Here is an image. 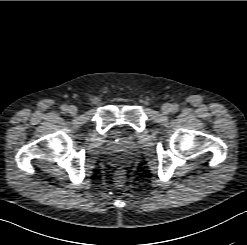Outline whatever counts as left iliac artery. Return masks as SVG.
<instances>
[{"label":"left iliac artery","mask_w":247,"mask_h":245,"mask_svg":"<svg viewBox=\"0 0 247 245\" xmlns=\"http://www.w3.org/2000/svg\"><path fill=\"white\" fill-rule=\"evenodd\" d=\"M178 109H179L178 104L175 103V104L172 105V112H177Z\"/></svg>","instance_id":"1"}]
</instances>
